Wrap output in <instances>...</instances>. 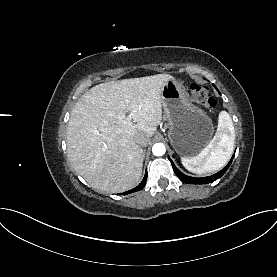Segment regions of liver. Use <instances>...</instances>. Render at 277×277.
Instances as JSON below:
<instances>
[{
	"instance_id": "obj_1",
	"label": "liver",
	"mask_w": 277,
	"mask_h": 277,
	"mask_svg": "<svg viewBox=\"0 0 277 277\" xmlns=\"http://www.w3.org/2000/svg\"><path fill=\"white\" fill-rule=\"evenodd\" d=\"M170 79L157 74L105 82L78 99L68 122L67 153L92 188L119 193L138 184L144 152L135 136L154 135L162 120V87Z\"/></svg>"
}]
</instances>
